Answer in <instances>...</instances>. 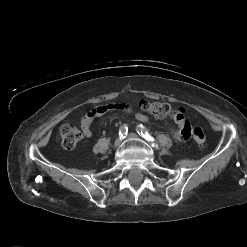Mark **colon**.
Wrapping results in <instances>:
<instances>
[{
	"instance_id": "1",
	"label": "colon",
	"mask_w": 247,
	"mask_h": 247,
	"mask_svg": "<svg viewBox=\"0 0 247 247\" xmlns=\"http://www.w3.org/2000/svg\"><path fill=\"white\" fill-rule=\"evenodd\" d=\"M139 106L143 111L157 118H165L167 116H173L181 113L180 111L174 110L169 104L164 102H149L143 100L140 102ZM190 136L197 146H203L205 144L206 135L202 128H193L190 130ZM60 138L63 147L70 150L75 148L81 140L82 133L75 125L66 123L60 128Z\"/></svg>"
}]
</instances>
